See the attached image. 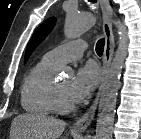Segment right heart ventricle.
<instances>
[{
    "instance_id": "1",
    "label": "right heart ventricle",
    "mask_w": 141,
    "mask_h": 139,
    "mask_svg": "<svg viewBox=\"0 0 141 139\" xmlns=\"http://www.w3.org/2000/svg\"><path fill=\"white\" fill-rule=\"evenodd\" d=\"M57 67L43 57L25 76L21 86V105L26 112L37 116H48L55 112L52 73Z\"/></svg>"
}]
</instances>
